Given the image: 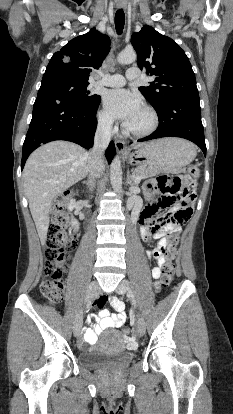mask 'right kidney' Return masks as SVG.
I'll return each mask as SVG.
<instances>
[{
  "label": "right kidney",
  "mask_w": 233,
  "mask_h": 414,
  "mask_svg": "<svg viewBox=\"0 0 233 414\" xmlns=\"http://www.w3.org/2000/svg\"><path fill=\"white\" fill-rule=\"evenodd\" d=\"M75 207V200H71L68 204V209L72 211ZM72 226L77 230L79 228V222L76 219H72L71 221Z\"/></svg>",
  "instance_id": "ca27d5eb"
}]
</instances>
